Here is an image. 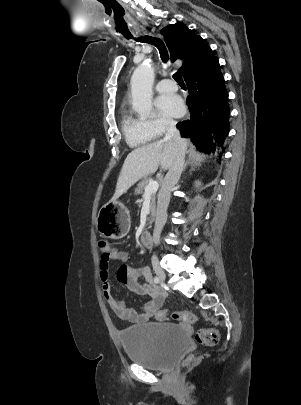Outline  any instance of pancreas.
Masks as SVG:
<instances>
[{"label": "pancreas", "mask_w": 301, "mask_h": 405, "mask_svg": "<svg viewBox=\"0 0 301 405\" xmlns=\"http://www.w3.org/2000/svg\"><path fill=\"white\" fill-rule=\"evenodd\" d=\"M148 183H149L148 180H143V181H141V182L137 185V188L135 189V194H136V195H143V194H144V191H145V188L147 187ZM155 200H156V194L153 193V194L151 195V203H150L151 215H150V217L147 219L148 228L151 227V224H152L153 221H154L155 206H156ZM146 229H147V228H145V230H146Z\"/></svg>", "instance_id": "pancreas-1"}]
</instances>
